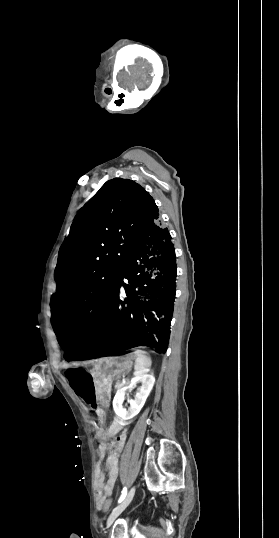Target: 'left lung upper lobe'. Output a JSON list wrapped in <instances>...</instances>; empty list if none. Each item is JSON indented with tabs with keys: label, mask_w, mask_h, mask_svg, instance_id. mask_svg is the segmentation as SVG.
Masks as SVG:
<instances>
[{
	"label": "left lung upper lobe",
	"mask_w": 279,
	"mask_h": 538,
	"mask_svg": "<svg viewBox=\"0 0 279 538\" xmlns=\"http://www.w3.org/2000/svg\"><path fill=\"white\" fill-rule=\"evenodd\" d=\"M158 208L132 180L106 182L79 211L60 247L51 302L56 335L88 334L103 314L124 264L148 229Z\"/></svg>",
	"instance_id": "1"
}]
</instances>
